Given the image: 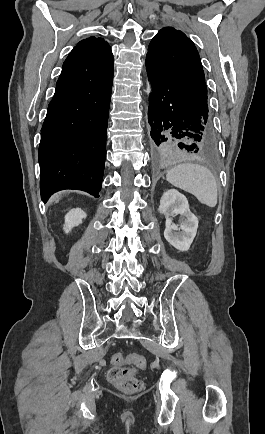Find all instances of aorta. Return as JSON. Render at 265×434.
Wrapping results in <instances>:
<instances>
[{"label": "aorta", "instance_id": "1", "mask_svg": "<svg viewBox=\"0 0 265 434\" xmlns=\"http://www.w3.org/2000/svg\"><path fill=\"white\" fill-rule=\"evenodd\" d=\"M152 92V88L150 86V82H147V86H146V94H151Z\"/></svg>", "mask_w": 265, "mask_h": 434}]
</instances>
